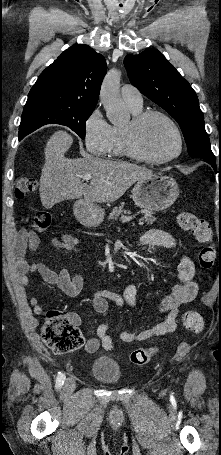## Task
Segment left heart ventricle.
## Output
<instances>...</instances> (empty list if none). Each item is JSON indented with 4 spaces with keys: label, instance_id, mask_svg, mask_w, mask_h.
Masks as SVG:
<instances>
[{
    "label": "left heart ventricle",
    "instance_id": "1",
    "mask_svg": "<svg viewBox=\"0 0 221 455\" xmlns=\"http://www.w3.org/2000/svg\"><path fill=\"white\" fill-rule=\"evenodd\" d=\"M140 147L155 158H166L177 151L178 142L171 126L163 119L154 117L142 128Z\"/></svg>",
    "mask_w": 221,
    "mask_h": 455
}]
</instances>
